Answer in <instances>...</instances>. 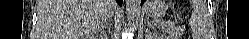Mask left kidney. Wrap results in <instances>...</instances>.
I'll return each instance as SVG.
<instances>
[{
	"label": "left kidney",
	"instance_id": "5707ae66",
	"mask_svg": "<svg viewBox=\"0 0 249 39\" xmlns=\"http://www.w3.org/2000/svg\"><path fill=\"white\" fill-rule=\"evenodd\" d=\"M154 39H163V36L155 34Z\"/></svg>",
	"mask_w": 249,
	"mask_h": 39
}]
</instances>
